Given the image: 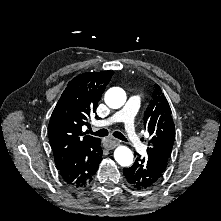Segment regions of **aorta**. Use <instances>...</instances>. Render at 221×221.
<instances>
[{
    "instance_id": "1",
    "label": "aorta",
    "mask_w": 221,
    "mask_h": 221,
    "mask_svg": "<svg viewBox=\"0 0 221 221\" xmlns=\"http://www.w3.org/2000/svg\"><path fill=\"white\" fill-rule=\"evenodd\" d=\"M126 102V93L122 88H110L105 94V103L113 109L122 107ZM114 158L121 166H130L133 163V153L126 146H118L114 151Z\"/></svg>"
}]
</instances>
